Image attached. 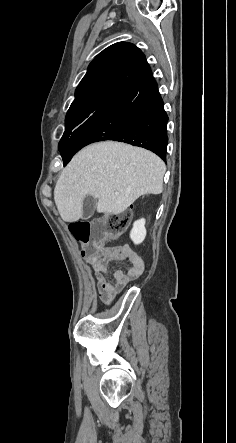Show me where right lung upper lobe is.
<instances>
[{"mask_svg": "<svg viewBox=\"0 0 236 443\" xmlns=\"http://www.w3.org/2000/svg\"><path fill=\"white\" fill-rule=\"evenodd\" d=\"M150 67L142 51L132 43H115L90 63L75 91L74 106L98 95H112L133 85Z\"/></svg>", "mask_w": 236, "mask_h": 443, "instance_id": "cb5924a9", "label": "right lung upper lobe"}]
</instances>
